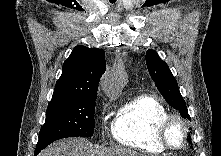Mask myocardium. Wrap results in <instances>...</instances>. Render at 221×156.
Instances as JSON below:
<instances>
[{"label":"myocardium","instance_id":"obj_1","mask_svg":"<svg viewBox=\"0 0 221 156\" xmlns=\"http://www.w3.org/2000/svg\"><path fill=\"white\" fill-rule=\"evenodd\" d=\"M177 121L179 122L184 130V140L183 143L179 147H175L171 145V143L168 140V129L172 122ZM158 139L161 142V144L168 150L171 151H179L183 149L189 139V126L187 121L177 114H168L159 124L158 131H157Z\"/></svg>","mask_w":221,"mask_h":156}]
</instances>
